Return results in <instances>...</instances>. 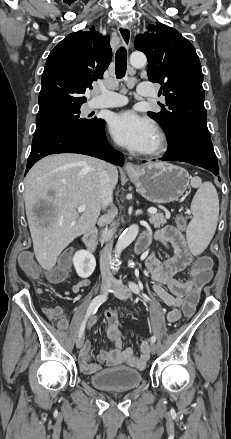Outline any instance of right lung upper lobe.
<instances>
[{"instance_id":"cb5924a9","label":"right lung upper lobe","mask_w":231,"mask_h":439,"mask_svg":"<svg viewBox=\"0 0 231 439\" xmlns=\"http://www.w3.org/2000/svg\"><path fill=\"white\" fill-rule=\"evenodd\" d=\"M111 60L108 36L93 27L69 34L47 58L36 119L81 107L86 88L103 78Z\"/></svg>"}]
</instances>
